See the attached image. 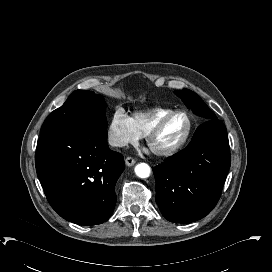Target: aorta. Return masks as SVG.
Instances as JSON below:
<instances>
[{"label":"aorta","mask_w":272,"mask_h":272,"mask_svg":"<svg viewBox=\"0 0 272 272\" xmlns=\"http://www.w3.org/2000/svg\"><path fill=\"white\" fill-rule=\"evenodd\" d=\"M151 169L146 163H140L135 167V173L139 178H147L150 176Z\"/></svg>","instance_id":"obj_1"}]
</instances>
